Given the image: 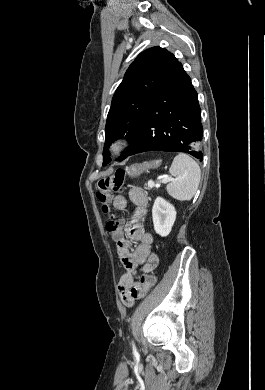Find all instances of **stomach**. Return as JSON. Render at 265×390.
Instances as JSON below:
<instances>
[{
  "label": "stomach",
  "instance_id": "0dacf381",
  "mask_svg": "<svg viewBox=\"0 0 265 390\" xmlns=\"http://www.w3.org/2000/svg\"><path fill=\"white\" fill-rule=\"evenodd\" d=\"M159 161H151V162H144L143 164H136V165H131L126 168V173L129 176H138L141 173H143L146 169H154L159 166Z\"/></svg>",
  "mask_w": 265,
  "mask_h": 390
}]
</instances>
